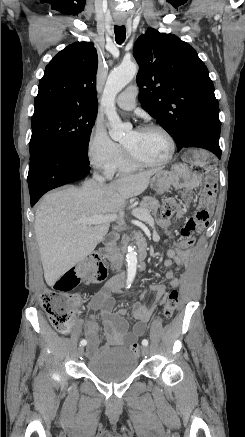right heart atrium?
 <instances>
[{
    "mask_svg": "<svg viewBox=\"0 0 245 437\" xmlns=\"http://www.w3.org/2000/svg\"><path fill=\"white\" fill-rule=\"evenodd\" d=\"M86 153L90 164L106 175L114 172L124 155L122 147L110 138L99 122H95L89 133Z\"/></svg>",
    "mask_w": 245,
    "mask_h": 437,
    "instance_id": "1",
    "label": "right heart atrium"
}]
</instances>
